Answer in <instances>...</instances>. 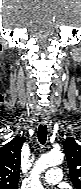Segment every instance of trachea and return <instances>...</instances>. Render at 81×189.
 Here are the masks:
<instances>
[{
    "mask_svg": "<svg viewBox=\"0 0 81 189\" xmlns=\"http://www.w3.org/2000/svg\"><path fill=\"white\" fill-rule=\"evenodd\" d=\"M37 136L39 142L44 145L46 142L47 138V125L46 124H40L38 131H37Z\"/></svg>",
    "mask_w": 81,
    "mask_h": 189,
    "instance_id": "1",
    "label": "trachea"
}]
</instances>
